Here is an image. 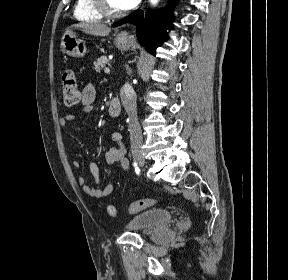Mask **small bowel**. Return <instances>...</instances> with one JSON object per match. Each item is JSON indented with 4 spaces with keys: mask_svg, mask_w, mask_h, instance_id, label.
Wrapping results in <instances>:
<instances>
[{
    "mask_svg": "<svg viewBox=\"0 0 288 280\" xmlns=\"http://www.w3.org/2000/svg\"><path fill=\"white\" fill-rule=\"evenodd\" d=\"M96 91L93 85H87L80 96L81 106L80 114L87 115L92 111V103L94 102ZM76 119L74 114H68L60 119V124L63 127L68 126ZM112 140L116 143L115 147L110 148L105 153V161L107 164L120 163L124 172L128 170V161L125 157V148L122 143V135L120 132L115 131L112 133ZM74 166L79 167L80 163L74 161ZM89 171L95 181V186H90L87 184V179L84 176H80L77 179L79 186L82 188L83 192L87 195L95 198H106L113 191V185L108 184L106 186H101L100 184V172L99 167L94 161H89L88 163Z\"/></svg>",
    "mask_w": 288,
    "mask_h": 280,
    "instance_id": "c3829d8e",
    "label": "small bowel"
}]
</instances>
